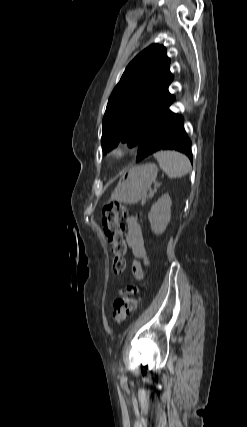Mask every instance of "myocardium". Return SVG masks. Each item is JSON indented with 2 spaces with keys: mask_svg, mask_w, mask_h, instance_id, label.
Instances as JSON below:
<instances>
[{
  "mask_svg": "<svg viewBox=\"0 0 247 427\" xmlns=\"http://www.w3.org/2000/svg\"><path fill=\"white\" fill-rule=\"evenodd\" d=\"M128 152V147L125 145H118L114 147L108 154L112 161H120L123 159Z\"/></svg>",
  "mask_w": 247,
  "mask_h": 427,
  "instance_id": "myocardium-1",
  "label": "myocardium"
}]
</instances>
